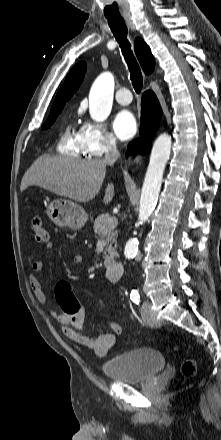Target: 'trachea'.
Wrapping results in <instances>:
<instances>
[{
    "instance_id": "1",
    "label": "trachea",
    "mask_w": 221,
    "mask_h": 440,
    "mask_svg": "<svg viewBox=\"0 0 221 440\" xmlns=\"http://www.w3.org/2000/svg\"><path fill=\"white\" fill-rule=\"evenodd\" d=\"M108 24L112 30L113 35L115 36L117 42L119 43L123 56L126 60L130 71V79L132 81L133 88L136 93L139 94L143 85V77L140 70V67L133 56L131 51V45L127 40V27L125 25V21L123 18H115V17H107Z\"/></svg>"
}]
</instances>
